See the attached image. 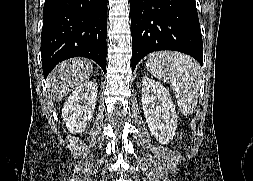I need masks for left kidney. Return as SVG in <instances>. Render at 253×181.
Masks as SVG:
<instances>
[{"label":"left kidney","instance_id":"obj_1","mask_svg":"<svg viewBox=\"0 0 253 181\" xmlns=\"http://www.w3.org/2000/svg\"><path fill=\"white\" fill-rule=\"evenodd\" d=\"M142 107L151 134L161 143H169L177 128V114L169 91L145 76L142 80Z\"/></svg>","mask_w":253,"mask_h":181}]
</instances>
